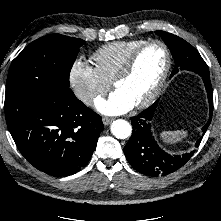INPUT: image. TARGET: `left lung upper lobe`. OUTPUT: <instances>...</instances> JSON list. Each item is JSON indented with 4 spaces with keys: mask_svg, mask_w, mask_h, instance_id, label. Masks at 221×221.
<instances>
[{
    "mask_svg": "<svg viewBox=\"0 0 221 221\" xmlns=\"http://www.w3.org/2000/svg\"><path fill=\"white\" fill-rule=\"evenodd\" d=\"M166 45L169 47L175 60V67L171 76L176 74L179 69L191 70L201 76H210L209 69L199 52L182 38L164 31H156Z\"/></svg>",
    "mask_w": 221,
    "mask_h": 221,
    "instance_id": "obj_1",
    "label": "left lung upper lobe"
}]
</instances>
